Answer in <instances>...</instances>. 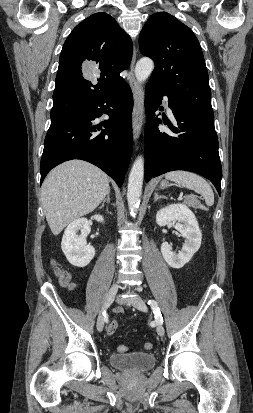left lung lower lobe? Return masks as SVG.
<instances>
[{
  "label": "left lung lower lobe",
  "mask_w": 253,
  "mask_h": 413,
  "mask_svg": "<svg viewBox=\"0 0 253 413\" xmlns=\"http://www.w3.org/2000/svg\"><path fill=\"white\" fill-rule=\"evenodd\" d=\"M165 95L155 82L147 83L145 109L151 117L145 130V180L173 170H187L209 179L220 195L222 167L214 117L168 98L177 126L169 125L175 135L162 133L158 129L161 120L154 118V113Z\"/></svg>",
  "instance_id": "obj_1"
}]
</instances>
